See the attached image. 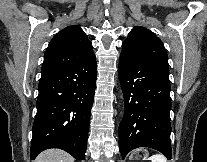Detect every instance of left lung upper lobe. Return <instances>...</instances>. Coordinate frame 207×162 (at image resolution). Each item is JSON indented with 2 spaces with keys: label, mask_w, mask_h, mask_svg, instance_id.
I'll list each match as a JSON object with an SVG mask.
<instances>
[{
  "label": "left lung upper lobe",
  "mask_w": 207,
  "mask_h": 162,
  "mask_svg": "<svg viewBox=\"0 0 207 162\" xmlns=\"http://www.w3.org/2000/svg\"><path fill=\"white\" fill-rule=\"evenodd\" d=\"M120 57L169 73L168 56L163 43L144 27H134L130 31L122 44Z\"/></svg>",
  "instance_id": "5c2ea615"
}]
</instances>
